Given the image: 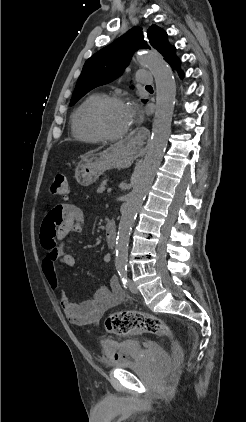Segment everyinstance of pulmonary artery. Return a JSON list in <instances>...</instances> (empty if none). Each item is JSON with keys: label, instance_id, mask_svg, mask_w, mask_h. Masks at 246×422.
<instances>
[{"label": "pulmonary artery", "instance_id": "obj_1", "mask_svg": "<svg viewBox=\"0 0 246 422\" xmlns=\"http://www.w3.org/2000/svg\"><path fill=\"white\" fill-rule=\"evenodd\" d=\"M137 79L140 83L150 85L153 82V76L149 71L139 70L137 73Z\"/></svg>", "mask_w": 246, "mask_h": 422}]
</instances>
